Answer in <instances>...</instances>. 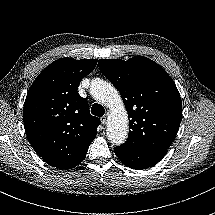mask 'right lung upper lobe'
Segmentation results:
<instances>
[{
	"instance_id": "obj_1",
	"label": "right lung upper lobe",
	"mask_w": 215,
	"mask_h": 215,
	"mask_svg": "<svg viewBox=\"0 0 215 215\" xmlns=\"http://www.w3.org/2000/svg\"><path fill=\"white\" fill-rule=\"evenodd\" d=\"M95 59L60 58L48 65L28 90L23 109L27 137L49 165L71 169L84 160L101 123L77 89Z\"/></svg>"
}]
</instances>
